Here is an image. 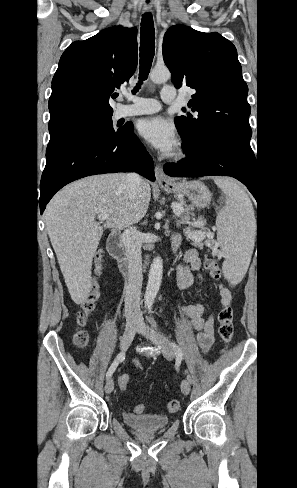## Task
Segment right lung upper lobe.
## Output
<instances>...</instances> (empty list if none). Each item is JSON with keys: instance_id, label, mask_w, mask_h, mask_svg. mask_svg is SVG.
Segmentation results:
<instances>
[{"instance_id": "obj_1", "label": "right lung upper lobe", "mask_w": 297, "mask_h": 488, "mask_svg": "<svg viewBox=\"0 0 297 488\" xmlns=\"http://www.w3.org/2000/svg\"><path fill=\"white\" fill-rule=\"evenodd\" d=\"M137 30L112 27L73 42L62 54L49 98V132L112 116V93L138 63Z\"/></svg>"}]
</instances>
